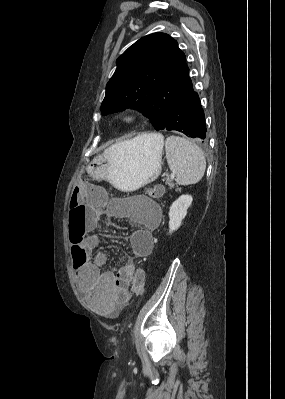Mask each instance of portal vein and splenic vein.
I'll return each mask as SVG.
<instances>
[{
    "instance_id": "1",
    "label": "portal vein and splenic vein",
    "mask_w": 285,
    "mask_h": 399,
    "mask_svg": "<svg viewBox=\"0 0 285 399\" xmlns=\"http://www.w3.org/2000/svg\"><path fill=\"white\" fill-rule=\"evenodd\" d=\"M175 176H174V174H171V178L173 179Z\"/></svg>"
}]
</instances>
